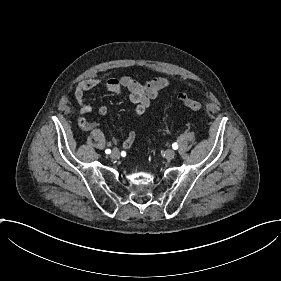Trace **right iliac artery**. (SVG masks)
<instances>
[{
  "instance_id": "82829eb1",
  "label": "right iliac artery",
  "mask_w": 281,
  "mask_h": 281,
  "mask_svg": "<svg viewBox=\"0 0 281 281\" xmlns=\"http://www.w3.org/2000/svg\"><path fill=\"white\" fill-rule=\"evenodd\" d=\"M105 153H106V154H110V153H111V150H110V149H107V150H105Z\"/></svg>"
}]
</instances>
